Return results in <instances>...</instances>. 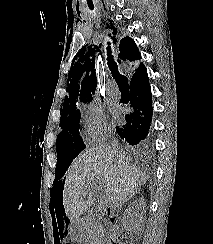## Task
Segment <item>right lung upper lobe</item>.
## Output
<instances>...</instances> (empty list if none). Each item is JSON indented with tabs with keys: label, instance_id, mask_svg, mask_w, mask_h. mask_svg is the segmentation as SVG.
<instances>
[{
	"label": "right lung upper lobe",
	"instance_id": "1",
	"mask_svg": "<svg viewBox=\"0 0 213 244\" xmlns=\"http://www.w3.org/2000/svg\"><path fill=\"white\" fill-rule=\"evenodd\" d=\"M119 51L118 57L123 61L134 62L141 57L135 42L128 36L120 41ZM118 61L121 62L120 60ZM144 68V64L140 63L135 69L131 81L135 79ZM68 78L70 84L68 83V95L65 97L63 103V111L92 101V94L95 93L97 86L96 74L94 72V60L90 59L88 56L82 57L70 69Z\"/></svg>",
	"mask_w": 213,
	"mask_h": 244
}]
</instances>
